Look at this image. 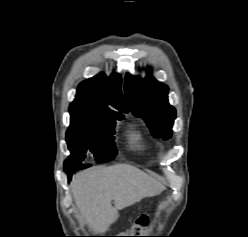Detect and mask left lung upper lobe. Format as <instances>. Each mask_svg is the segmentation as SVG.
<instances>
[{"label":"left lung upper lobe","mask_w":248,"mask_h":237,"mask_svg":"<svg viewBox=\"0 0 248 237\" xmlns=\"http://www.w3.org/2000/svg\"><path fill=\"white\" fill-rule=\"evenodd\" d=\"M125 94L134 115L141 117L158 137L167 140L172 133L176 110L168 103V87L153 77L127 75Z\"/></svg>","instance_id":"1"}]
</instances>
